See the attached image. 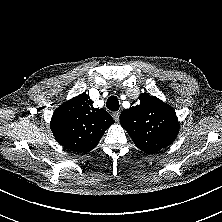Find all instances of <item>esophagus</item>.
Masks as SVG:
<instances>
[{
  "label": "esophagus",
  "mask_w": 222,
  "mask_h": 222,
  "mask_svg": "<svg viewBox=\"0 0 222 222\" xmlns=\"http://www.w3.org/2000/svg\"><path fill=\"white\" fill-rule=\"evenodd\" d=\"M112 116H113L115 121H119L120 112L119 111L113 112Z\"/></svg>",
  "instance_id": "esophagus-1"
}]
</instances>
